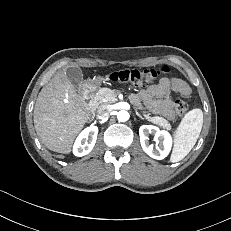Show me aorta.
Masks as SVG:
<instances>
[{
  "instance_id": "obj_1",
  "label": "aorta",
  "mask_w": 231,
  "mask_h": 231,
  "mask_svg": "<svg viewBox=\"0 0 231 231\" xmlns=\"http://www.w3.org/2000/svg\"><path fill=\"white\" fill-rule=\"evenodd\" d=\"M117 118L121 122H125L129 119V113L125 110H121L117 113Z\"/></svg>"
}]
</instances>
